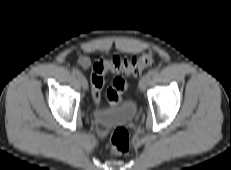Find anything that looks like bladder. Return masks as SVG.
<instances>
[{"instance_id": "bladder-1", "label": "bladder", "mask_w": 231, "mask_h": 170, "mask_svg": "<svg viewBox=\"0 0 231 170\" xmlns=\"http://www.w3.org/2000/svg\"><path fill=\"white\" fill-rule=\"evenodd\" d=\"M136 113V103L126 101L122 105L110 109H96L92 113V118L100 126L111 128L129 124L135 118Z\"/></svg>"}]
</instances>
